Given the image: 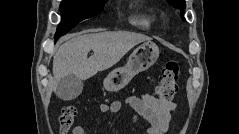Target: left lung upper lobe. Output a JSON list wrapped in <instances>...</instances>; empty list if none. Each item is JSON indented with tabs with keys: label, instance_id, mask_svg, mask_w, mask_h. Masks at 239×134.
<instances>
[{
	"label": "left lung upper lobe",
	"instance_id": "1",
	"mask_svg": "<svg viewBox=\"0 0 239 134\" xmlns=\"http://www.w3.org/2000/svg\"><path fill=\"white\" fill-rule=\"evenodd\" d=\"M170 5L179 9L181 12L186 8L185 0H166ZM185 21V19H183Z\"/></svg>",
	"mask_w": 239,
	"mask_h": 134
}]
</instances>
